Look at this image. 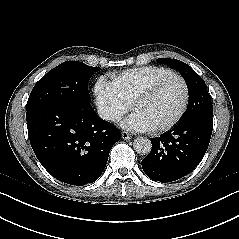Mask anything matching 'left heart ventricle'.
<instances>
[{
	"label": "left heart ventricle",
	"mask_w": 239,
	"mask_h": 239,
	"mask_svg": "<svg viewBox=\"0 0 239 239\" xmlns=\"http://www.w3.org/2000/svg\"><path fill=\"white\" fill-rule=\"evenodd\" d=\"M184 97L180 80L170 78L164 81L148 99L139 102L134 112L140 114L152 127L162 126L171 121L179 112Z\"/></svg>",
	"instance_id": "left-heart-ventricle-1"
}]
</instances>
